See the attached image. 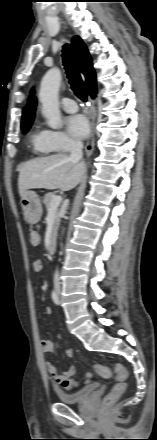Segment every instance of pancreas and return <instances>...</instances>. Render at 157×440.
Instances as JSON below:
<instances>
[{
    "instance_id": "cf45deb5",
    "label": "pancreas",
    "mask_w": 157,
    "mask_h": 440,
    "mask_svg": "<svg viewBox=\"0 0 157 440\" xmlns=\"http://www.w3.org/2000/svg\"><path fill=\"white\" fill-rule=\"evenodd\" d=\"M55 197H56V195L54 193H47L44 196L43 203L45 204L47 211H50L51 202ZM59 224H60V214H59V210L56 209L55 210V224H54L53 233H52L53 239L57 235V230H58Z\"/></svg>"
}]
</instances>
